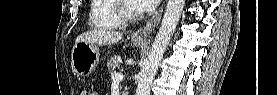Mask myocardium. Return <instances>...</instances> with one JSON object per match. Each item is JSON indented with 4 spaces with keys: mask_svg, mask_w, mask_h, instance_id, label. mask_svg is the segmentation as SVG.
<instances>
[{
    "mask_svg": "<svg viewBox=\"0 0 277 95\" xmlns=\"http://www.w3.org/2000/svg\"><path fill=\"white\" fill-rule=\"evenodd\" d=\"M129 1L134 0H116L113 6L114 12L116 16L122 21L126 23L135 22L141 19L145 15V11L141 10L136 14H130L127 11V3Z\"/></svg>",
    "mask_w": 277,
    "mask_h": 95,
    "instance_id": "f54148a6",
    "label": "myocardium"
}]
</instances>
